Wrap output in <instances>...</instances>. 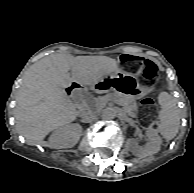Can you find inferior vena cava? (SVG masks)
I'll use <instances>...</instances> for the list:
<instances>
[{"mask_svg": "<svg viewBox=\"0 0 194 193\" xmlns=\"http://www.w3.org/2000/svg\"><path fill=\"white\" fill-rule=\"evenodd\" d=\"M97 115L98 114L95 111H88L87 113L84 114L83 119L85 121H90V120L95 119L97 117Z\"/></svg>", "mask_w": 194, "mask_h": 193, "instance_id": "1", "label": "inferior vena cava"}]
</instances>
